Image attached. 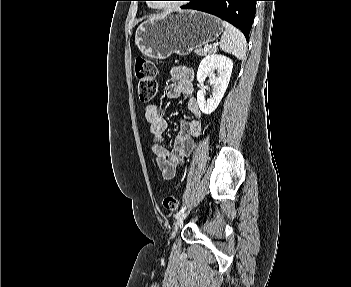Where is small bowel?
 <instances>
[{
	"instance_id": "small-bowel-1",
	"label": "small bowel",
	"mask_w": 351,
	"mask_h": 287,
	"mask_svg": "<svg viewBox=\"0 0 351 287\" xmlns=\"http://www.w3.org/2000/svg\"><path fill=\"white\" fill-rule=\"evenodd\" d=\"M171 76L174 83L166 88V96L170 99L187 98V107L192 115L189 120L181 121L180 131L172 148H168L162 139L167 128L163 108L155 102L147 104L144 108L146 127L154 136L151 148L158 168L165 179L175 176L177 169L182 166L195 148V139L202 130V113L193 96V71L186 66H177L171 69Z\"/></svg>"
}]
</instances>
